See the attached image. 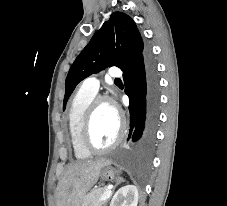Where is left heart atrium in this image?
I'll use <instances>...</instances> for the list:
<instances>
[{
	"label": "left heart atrium",
	"mask_w": 227,
	"mask_h": 206,
	"mask_svg": "<svg viewBox=\"0 0 227 206\" xmlns=\"http://www.w3.org/2000/svg\"><path fill=\"white\" fill-rule=\"evenodd\" d=\"M113 108H114L115 112L117 113V110H116V108H115V107H113Z\"/></svg>",
	"instance_id": "1"
}]
</instances>
